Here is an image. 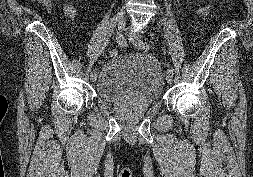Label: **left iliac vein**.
Returning a JSON list of instances; mask_svg holds the SVG:
<instances>
[{"label": "left iliac vein", "mask_w": 253, "mask_h": 177, "mask_svg": "<svg viewBox=\"0 0 253 177\" xmlns=\"http://www.w3.org/2000/svg\"><path fill=\"white\" fill-rule=\"evenodd\" d=\"M129 41L137 48H139V46L137 45V41H142L141 36L139 34H135V33H130L129 34ZM141 49V48H139ZM166 81L169 84H172L173 82V75L172 74H166Z\"/></svg>", "instance_id": "obj_1"}]
</instances>
